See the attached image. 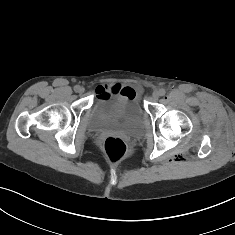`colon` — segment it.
Wrapping results in <instances>:
<instances>
[{
  "label": "colon",
  "mask_w": 235,
  "mask_h": 235,
  "mask_svg": "<svg viewBox=\"0 0 235 235\" xmlns=\"http://www.w3.org/2000/svg\"><path fill=\"white\" fill-rule=\"evenodd\" d=\"M104 152L107 159L111 163H118L122 161L127 155V147L125 142L115 136L106 138L103 144Z\"/></svg>",
  "instance_id": "5ec220e1"
}]
</instances>
